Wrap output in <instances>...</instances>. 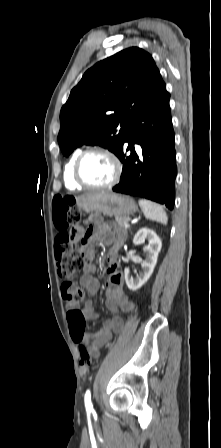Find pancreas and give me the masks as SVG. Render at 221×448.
Instances as JSON below:
<instances>
[{
    "label": "pancreas",
    "mask_w": 221,
    "mask_h": 448,
    "mask_svg": "<svg viewBox=\"0 0 221 448\" xmlns=\"http://www.w3.org/2000/svg\"><path fill=\"white\" fill-rule=\"evenodd\" d=\"M115 219L120 227H125V224L130 220L129 216H116Z\"/></svg>",
    "instance_id": "pancreas-1"
}]
</instances>
